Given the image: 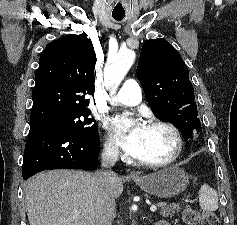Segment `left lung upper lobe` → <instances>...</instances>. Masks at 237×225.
Returning a JSON list of instances; mask_svg holds the SVG:
<instances>
[{
	"mask_svg": "<svg viewBox=\"0 0 237 225\" xmlns=\"http://www.w3.org/2000/svg\"><path fill=\"white\" fill-rule=\"evenodd\" d=\"M137 76L157 118L173 123L182 134L199 120L188 68L165 39L143 43Z\"/></svg>",
	"mask_w": 237,
	"mask_h": 225,
	"instance_id": "left-lung-upper-lobe-1",
	"label": "left lung upper lobe"
}]
</instances>
